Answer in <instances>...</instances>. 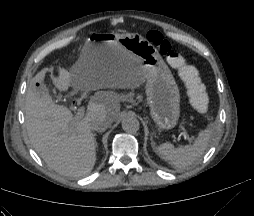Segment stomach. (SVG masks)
Masks as SVG:
<instances>
[{"instance_id":"1","label":"stomach","mask_w":254,"mask_h":216,"mask_svg":"<svg viewBox=\"0 0 254 216\" xmlns=\"http://www.w3.org/2000/svg\"><path fill=\"white\" fill-rule=\"evenodd\" d=\"M131 58L145 76L150 116L160 130L174 127L180 117V93L171 71L157 49L139 34H97L85 50L91 67L111 63L120 54Z\"/></svg>"}]
</instances>
